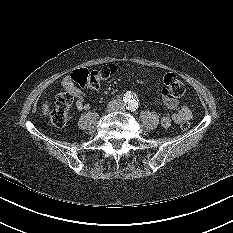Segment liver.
<instances>
[{
  "instance_id": "obj_1",
  "label": "liver",
  "mask_w": 233,
  "mask_h": 233,
  "mask_svg": "<svg viewBox=\"0 0 233 233\" xmlns=\"http://www.w3.org/2000/svg\"><path fill=\"white\" fill-rule=\"evenodd\" d=\"M42 111H43V114H44V115H46V114L49 113V106H48L47 103H45V104L43 105Z\"/></svg>"
}]
</instances>
